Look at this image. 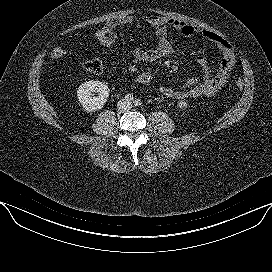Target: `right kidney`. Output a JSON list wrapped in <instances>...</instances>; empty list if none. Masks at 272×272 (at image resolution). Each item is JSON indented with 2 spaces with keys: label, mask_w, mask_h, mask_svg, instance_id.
Instances as JSON below:
<instances>
[{
  "label": "right kidney",
  "mask_w": 272,
  "mask_h": 272,
  "mask_svg": "<svg viewBox=\"0 0 272 272\" xmlns=\"http://www.w3.org/2000/svg\"><path fill=\"white\" fill-rule=\"evenodd\" d=\"M109 92L105 83L91 80L79 86L77 96L84 111L93 112L105 105Z\"/></svg>",
  "instance_id": "right-kidney-1"
}]
</instances>
